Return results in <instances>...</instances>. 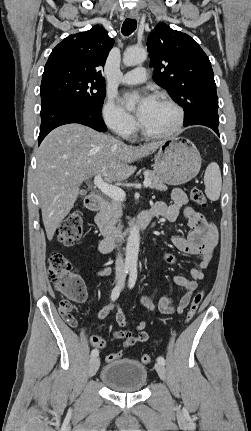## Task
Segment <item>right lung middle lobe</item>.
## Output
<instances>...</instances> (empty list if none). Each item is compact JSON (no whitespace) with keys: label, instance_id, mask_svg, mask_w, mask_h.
<instances>
[{"label":"right lung middle lobe","instance_id":"1","mask_svg":"<svg viewBox=\"0 0 251 431\" xmlns=\"http://www.w3.org/2000/svg\"><path fill=\"white\" fill-rule=\"evenodd\" d=\"M106 89L103 81L68 67L44 70L41 82V107L66 101L101 112Z\"/></svg>","mask_w":251,"mask_h":431}]
</instances>
